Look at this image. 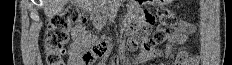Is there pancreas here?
I'll return each instance as SVG.
<instances>
[{
  "label": "pancreas",
  "instance_id": "1",
  "mask_svg": "<svg viewBox=\"0 0 232 65\" xmlns=\"http://www.w3.org/2000/svg\"><path fill=\"white\" fill-rule=\"evenodd\" d=\"M102 2H107V1L103 0ZM108 10H109V8H108V7H105V8L102 10V12L105 14L106 12H108ZM98 26L101 27L102 24H98Z\"/></svg>",
  "mask_w": 232,
  "mask_h": 65
}]
</instances>
